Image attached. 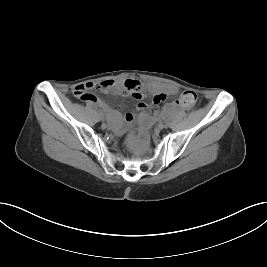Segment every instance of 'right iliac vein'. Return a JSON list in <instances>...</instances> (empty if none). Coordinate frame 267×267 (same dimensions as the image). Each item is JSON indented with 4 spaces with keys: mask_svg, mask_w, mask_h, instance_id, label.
<instances>
[{
    "mask_svg": "<svg viewBox=\"0 0 267 267\" xmlns=\"http://www.w3.org/2000/svg\"><path fill=\"white\" fill-rule=\"evenodd\" d=\"M100 118H101L102 120H104V115H103V114H101V115H100Z\"/></svg>",
    "mask_w": 267,
    "mask_h": 267,
    "instance_id": "1",
    "label": "right iliac vein"
}]
</instances>
